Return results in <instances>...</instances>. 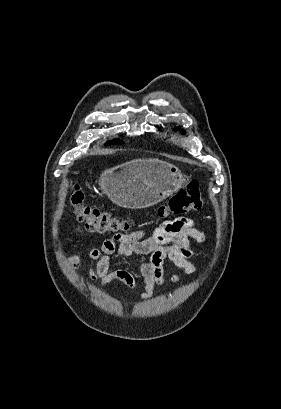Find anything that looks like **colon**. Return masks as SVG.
Returning a JSON list of instances; mask_svg holds the SVG:
<instances>
[{
    "label": "colon",
    "instance_id": "obj_1",
    "mask_svg": "<svg viewBox=\"0 0 281 409\" xmlns=\"http://www.w3.org/2000/svg\"><path fill=\"white\" fill-rule=\"evenodd\" d=\"M70 203L77 220L94 233L113 235L131 230L130 224L113 212L90 207L85 202V193L77 184L73 187ZM202 206L200 189L198 185L191 184L182 186L174 197L159 206L157 213L160 218H165L169 214L183 215L198 211Z\"/></svg>",
    "mask_w": 281,
    "mask_h": 409
}]
</instances>
